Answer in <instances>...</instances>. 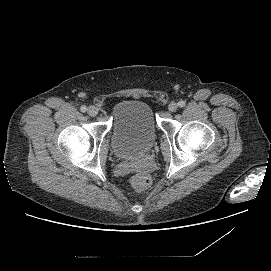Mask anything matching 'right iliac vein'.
Instances as JSON below:
<instances>
[{"mask_svg": "<svg viewBox=\"0 0 271 271\" xmlns=\"http://www.w3.org/2000/svg\"><path fill=\"white\" fill-rule=\"evenodd\" d=\"M87 113L89 116H96L98 114V109L95 107V106H90L88 109H87Z\"/></svg>", "mask_w": 271, "mask_h": 271, "instance_id": "obj_1", "label": "right iliac vein"}]
</instances>
